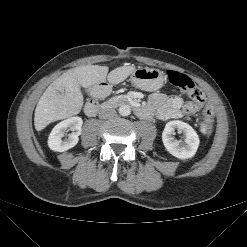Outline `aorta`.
I'll return each instance as SVG.
<instances>
[{
	"mask_svg": "<svg viewBox=\"0 0 247 247\" xmlns=\"http://www.w3.org/2000/svg\"><path fill=\"white\" fill-rule=\"evenodd\" d=\"M119 114L122 116H128L131 114V107L129 105H121L119 107Z\"/></svg>",
	"mask_w": 247,
	"mask_h": 247,
	"instance_id": "762f6f07",
	"label": "aorta"
}]
</instances>
